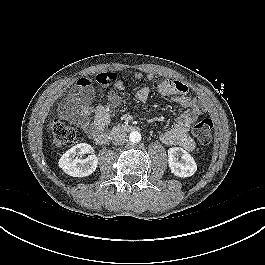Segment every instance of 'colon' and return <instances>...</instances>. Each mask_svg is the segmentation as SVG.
<instances>
[{
  "mask_svg": "<svg viewBox=\"0 0 265 265\" xmlns=\"http://www.w3.org/2000/svg\"><path fill=\"white\" fill-rule=\"evenodd\" d=\"M103 76H100L101 79ZM213 122L210 118L204 117L198 120L192 126V133L202 145H207L211 141V132ZM53 143L57 147H62L75 142L77 139V131L75 128L67 125L60 119L53 123L52 127Z\"/></svg>",
  "mask_w": 265,
  "mask_h": 265,
  "instance_id": "1",
  "label": "colon"
}]
</instances>
